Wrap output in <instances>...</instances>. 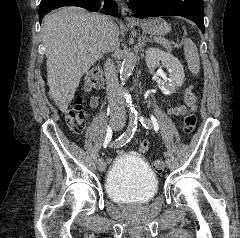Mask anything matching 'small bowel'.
Returning a JSON list of instances; mask_svg holds the SVG:
<instances>
[{
	"mask_svg": "<svg viewBox=\"0 0 240 238\" xmlns=\"http://www.w3.org/2000/svg\"><path fill=\"white\" fill-rule=\"evenodd\" d=\"M98 98H94L91 100V106L92 107H97L98 106ZM197 110V104H195L193 107H189V106H185L183 104H176L174 106H172L168 112L169 114L171 115H174V116H179V115H186L188 112L190 111H196ZM150 147V144L148 141H143L139 147V153L140 154H148V148ZM124 151L123 149H121L120 146H117L116 149H113L112 150V153L113 154H123ZM128 152V151H127ZM103 158L106 159V165L107 166H112L113 165V161H114V158L113 157H110L109 154H104L103 155Z\"/></svg>",
	"mask_w": 240,
	"mask_h": 238,
	"instance_id": "c3829d8e",
	"label": "small bowel"
}]
</instances>
